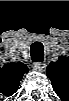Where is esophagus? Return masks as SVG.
<instances>
[{
    "mask_svg": "<svg viewBox=\"0 0 69 101\" xmlns=\"http://www.w3.org/2000/svg\"><path fill=\"white\" fill-rule=\"evenodd\" d=\"M46 65L43 62H37L33 64V69L36 71H43L45 69Z\"/></svg>",
    "mask_w": 69,
    "mask_h": 101,
    "instance_id": "1",
    "label": "esophagus"
}]
</instances>
